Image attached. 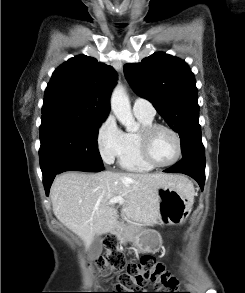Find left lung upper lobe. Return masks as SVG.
<instances>
[{"mask_svg": "<svg viewBox=\"0 0 245 293\" xmlns=\"http://www.w3.org/2000/svg\"><path fill=\"white\" fill-rule=\"evenodd\" d=\"M124 73L132 88L179 133L183 158L205 162L196 82L188 64L158 52L141 63L125 64Z\"/></svg>", "mask_w": 245, "mask_h": 293, "instance_id": "5c2ea615", "label": "left lung upper lobe"}]
</instances>
